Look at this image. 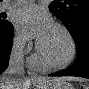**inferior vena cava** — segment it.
I'll return each instance as SVG.
<instances>
[{
	"instance_id": "inferior-vena-cava-1",
	"label": "inferior vena cava",
	"mask_w": 89,
	"mask_h": 89,
	"mask_svg": "<svg viewBox=\"0 0 89 89\" xmlns=\"http://www.w3.org/2000/svg\"><path fill=\"white\" fill-rule=\"evenodd\" d=\"M6 74L13 77H24V43H20L12 51Z\"/></svg>"
}]
</instances>
